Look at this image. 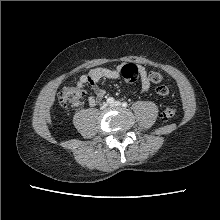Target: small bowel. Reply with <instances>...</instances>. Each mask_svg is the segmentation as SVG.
<instances>
[{
	"instance_id": "obj_1",
	"label": "small bowel",
	"mask_w": 220,
	"mask_h": 220,
	"mask_svg": "<svg viewBox=\"0 0 220 220\" xmlns=\"http://www.w3.org/2000/svg\"><path fill=\"white\" fill-rule=\"evenodd\" d=\"M143 71V69L141 68ZM120 75V68H108V67H97L92 69L88 74L83 76L78 85L80 87L89 86L93 91V95L88 97V104L95 106L105 95L104 89H102L98 83L102 79H117ZM140 88L142 92H147L151 88V83L145 76L141 75Z\"/></svg>"
}]
</instances>
